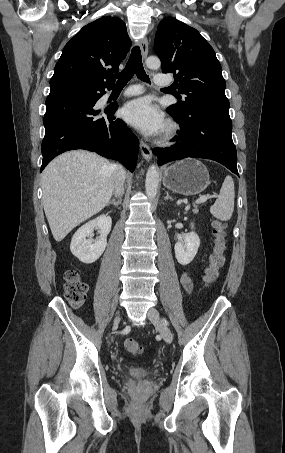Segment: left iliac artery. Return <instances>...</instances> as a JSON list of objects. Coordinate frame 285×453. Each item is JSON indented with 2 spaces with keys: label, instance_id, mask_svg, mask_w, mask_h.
<instances>
[{
  "label": "left iliac artery",
  "instance_id": "44dca946",
  "mask_svg": "<svg viewBox=\"0 0 285 453\" xmlns=\"http://www.w3.org/2000/svg\"><path fill=\"white\" fill-rule=\"evenodd\" d=\"M163 321H164V323H165V324H168V322H167V320H166V319H163Z\"/></svg>",
  "mask_w": 285,
  "mask_h": 453
}]
</instances>
